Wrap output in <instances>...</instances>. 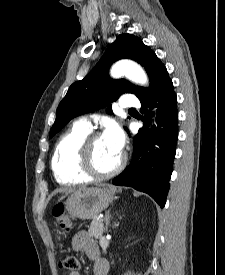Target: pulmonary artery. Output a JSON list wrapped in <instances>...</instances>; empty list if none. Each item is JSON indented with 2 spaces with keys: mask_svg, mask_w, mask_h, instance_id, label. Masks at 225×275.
Wrapping results in <instances>:
<instances>
[{
  "mask_svg": "<svg viewBox=\"0 0 225 275\" xmlns=\"http://www.w3.org/2000/svg\"><path fill=\"white\" fill-rule=\"evenodd\" d=\"M119 104L122 108H134L139 106V100L135 96L124 94L121 96ZM77 123L83 127L91 129V123L86 118H79Z\"/></svg>",
  "mask_w": 225,
  "mask_h": 275,
  "instance_id": "pulmonary-artery-1",
  "label": "pulmonary artery"
}]
</instances>
